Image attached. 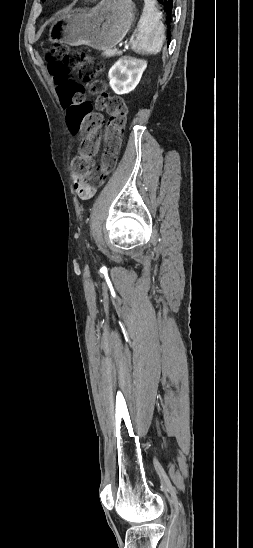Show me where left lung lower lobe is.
<instances>
[{"label": "left lung lower lobe", "mask_w": 253, "mask_h": 548, "mask_svg": "<svg viewBox=\"0 0 253 548\" xmlns=\"http://www.w3.org/2000/svg\"><path fill=\"white\" fill-rule=\"evenodd\" d=\"M163 7L164 12L167 14L168 18L172 17L174 0H158ZM170 42V37H168Z\"/></svg>", "instance_id": "obj_1"}]
</instances>
